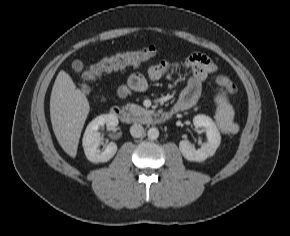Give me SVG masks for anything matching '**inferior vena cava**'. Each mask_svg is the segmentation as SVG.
Returning <instances> with one entry per match:
<instances>
[{
    "instance_id": "inferior-vena-cava-1",
    "label": "inferior vena cava",
    "mask_w": 290,
    "mask_h": 236,
    "mask_svg": "<svg viewBox=\"0 0 290 236\" xmlns=\"http://www.w3.org/2000/svg\"><path fill=\"white\" fill-rule=\"evenodd\" d=\"M143 133H144V128L140 124L135 123L130 127V134L133 137H136V138L141 137Z\"/></svg>"
}]
</instances>
